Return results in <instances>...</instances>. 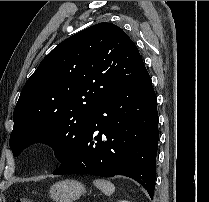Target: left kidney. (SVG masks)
Instances as JSON below:
<instances>
[{
	"label": "left kidney",
	"instance_id": "5707ae66",
	"mask_svg": "<svg viewBox=\"0 0 209 202\" xmlns=\"http://www.w3.org/2000/svg\"><path fill=\"white\" fill-rule=\"evenodd\" d=\"M118 202H128V201H126V200H120V201H118Z\"/></svg>",
	"mask_w": 209,
	"mask_h": 202
}]
</instances>
